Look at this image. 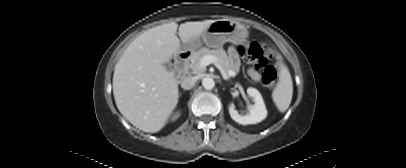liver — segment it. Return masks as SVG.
<instances>
[{"label":"liver","mask_w":406,"mask_h":168,"mask_svg":"<svg viewBox=\"0 0 406 168\" xmlns=\"http://www.w3.org/2000/svg\"><path fill=\"white\" fill-rule=\"evenodd\" d=\"M214 21L171 22L151 28L127 47L113 74V94L120 113L136 128L160 131L177 106L178 80L164 66ZM177 29L179 30L177 37Z\"/></svg>","instance_id":"1"}]
</instances>
